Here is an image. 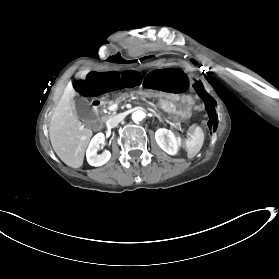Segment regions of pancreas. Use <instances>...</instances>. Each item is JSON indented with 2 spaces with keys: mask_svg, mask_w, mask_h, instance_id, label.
I'll use <instances>...</instances> for the list:
<instances>
[{
  "mask_svg": "<svg viewBox=\"0 0 279 279\" xmlns=\"http://www.w3.org/2000/svg\"><path fill=\"white\" fill-rule=\"evenodd\" d=\"M129 97L128 93H122L119 97L116 98V100H109L108 105H113L114 103H121L123 100ZM137 100H140V97H137ZM143 104H148V101L143 100ZM148 107L153 108V111H156V108H154V105L148 104ZM158 113H162V110H158ZM164 116H167L166 112H163ZM169 118H173V115H169Z\"/></svg>",
  "mask_w": 279,
  "mask_h": 279,
  "instance_id": "obj_1",
  "label": "pancreas"
}]
</instances>
